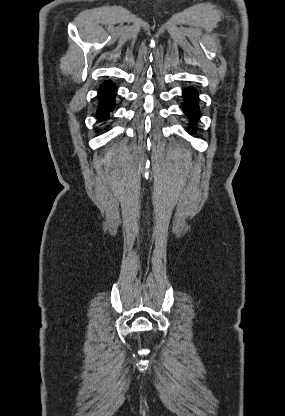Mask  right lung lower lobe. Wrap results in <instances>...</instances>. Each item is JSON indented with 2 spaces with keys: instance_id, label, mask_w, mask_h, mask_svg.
<instances>
[{
  "instance_id": "right-lung-lower-lobe-1",
  "label": "right lung lower lobe",
  "mask_w": 285,
  "mask_h": 416,
  "mask_svg": "<svg viewBox=\"0 0 285 416\" xmlns=\"http://www.w3.org/2000/svg\"><path fill=\"white\" fill-rule=\"evenodd\" d=\"M116 92V86L109 81L100 86L98 93L99 106L97 110V116L99 119L104 120L108 118L109 112L114 110V98L116 96Z\"/></svg>"
}]
</instances>
